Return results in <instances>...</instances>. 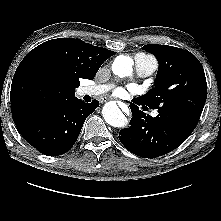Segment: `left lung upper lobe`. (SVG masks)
<instances>
[{
	"label": "left lung upper lobe",
	"instance_id": "5c2ea615",
	"mask_svg": "<svg viewBox=\"0 0 221 221\" xmlns=\"http://www.w3.org/2000/svg\"><path fill=\"white\" fill-rule=\"evenodd\" d=\"M142 49L157 58L159 68L155 87L137 102L196 127L207 98L201 63L189 51L172 46L148 44Z\"/></svg>",
	"mask_w": 221,
	"mask_h": 221
}]
</instances>
